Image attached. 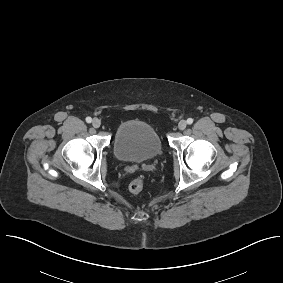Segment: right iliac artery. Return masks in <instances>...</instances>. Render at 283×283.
Wrapping results in <instances>:
<instances>
[{"mask_svg":"<svg viewBox=\"0 0 283 283\" xmlns=\"http://www.w3.org/2000/svg\"><path fill=\"white\" fill-rule=\"evenodd\" d=\"M86 122H87V123H91V122H92V118H91V117H87V118H86Z\"/></svg>","mask_w":283,"mask_h":283,"instance_id":"82829eb1","label":"right iliac artery"}]
</instances>
